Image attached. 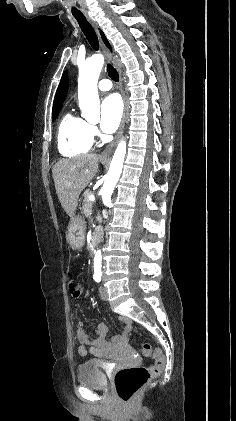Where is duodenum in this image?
Listing matches in <instances>:
<instances>
[{
	"label": "duodenum",
	"mask_w": 236,
	"mask_h": 421,
	"mask_svg": "<svg viewBox=\"0 0 236 421\" xmlns=\"http://www.w3.org/2000/svg\"><path fill=\"white\" fill-rule=\"evenodd\" d=\"M102 237V230L97 228L93 235H92V246H95L98 244V242L100 241ZM131 328L130 324L127 323L126 325V331L123 334L122 339H125L127 336V331ZM99 334V338L93 342H89L87 336L83 333V331L80 332L79 338L81 340V342L86 345V344H91L93 347L91 348V350L93 351V354L97 355V356H104L107 354V350H108V345L107 342L105 341V332L103 330H99L98 331ZM84 349H86V347H83Z\"/></svg>",
	"instance_id": "duodenum-1"
}]
</instances>
